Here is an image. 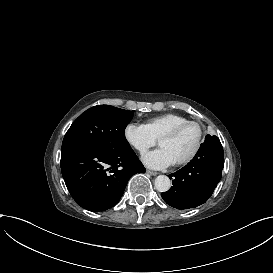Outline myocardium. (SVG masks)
Here are the masks:
<instances>
[{"label": "myocardium", "instance_id": "1", "mask_svg": "<svg viewBox=\"0 0 273 273\" xmlns=\"http://www.w3.org/2000/svg\"><path fill=\"white\" fill-rule=\"evenodd\" d=\"M191 126H196L198 128V136H197V139H196V142H195V145H194L192 151L190 152V154L187 157H185L184 159H182L181 161L176 163V165H178V166H182V165H186V164L190 163L198 155V153L201 149L203 137H204V128H203L202 124L197 121H188L180 126L172 128L171 130L163 133L160 136V138L158 139V143H159L160 140H162L164 138H170V137L177 136L178 134L182 133L184 130H186L187 128H189Z\"/></svg>", "mask_w": 273, "mask_h": 273}]
</instances>
